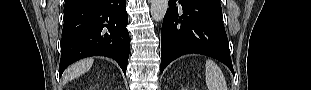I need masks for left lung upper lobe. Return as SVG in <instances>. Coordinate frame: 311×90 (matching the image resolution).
<instances>
[{
	"label": "left lung upper lobe",
	"instance_id": "1",
	"mask_svg": "<svg viewBox=\"0 0 311 90\" xmlns=\"http://www.w3.org/2000/svg\"><path fill=\"white\" fill-rule=\"evenodd\" d=\"M211 1H213V2H215V3H217V4H220V1H219V0H211Z\"/></svg>",
	"mask_w": 311,
	"mask_h": 90
}]
</instances>
